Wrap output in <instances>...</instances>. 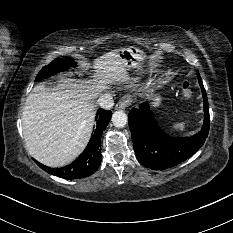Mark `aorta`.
Listing matches in <instances>:
<instances>
[{
    "label": "aorta",
    "mask_w": 233,
    "mask_h": 233,
    "mask_svg": "<svg viewBox=\"0 0 233 233\" xmlns=\"http://www.w3.org/2000/svg\"><path fill=\"white\" fill-rule=\"evenodd\" d=\"M112 123L117 128H122L127 124L128 117L123 111H116L112 115Z\"/></svg>",
    "instance_id": "762f6f07"
}]
</instances>
